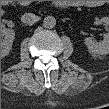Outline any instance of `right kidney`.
<instances>
[{
  "mask_svg": "<svg viewBox=\"0 0 109 109\" xmlns=\"http://www.w3.org/2000/svg\"><path fill=\"white\" fill-rule=\"evenodd\" d=\"M1 55L4 57L8 55L11 50L13 41L15 39V32L13 29H3L1 31Z\"/></svg>",
  "mask_w": 109,
  "mask_h": 109,
  "instance_id": "obj_1",
  "label": "right kidney"
}]
</instances>
